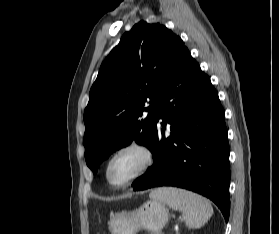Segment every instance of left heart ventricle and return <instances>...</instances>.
Segmentation results:
<instances>
[{"label":"left heart ventricle","instance_id":"obj_1","mask_svg":"<svg viewBox=\"0 0 279 234\" xmlns=\"http://www.w3.org/2000/svg\"><path fill=\"white\" fill-rule=\"evenodd\" d=\"M141 158L137 153L129 152L120 156L111 166L110 177L114 182H122L140 165Z\"/></svg>","mask_w":279,"mask_h":234}]
</instances>
